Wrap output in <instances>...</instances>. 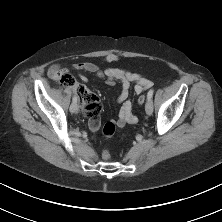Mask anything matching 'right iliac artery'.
Wrapping results in <instances>:
<instances>
[{
    "instance_id": "1",
    "label": "right iliac artery",
    "mask_w": 222,
    "mask_h": 222,
    "mask_svg": "<svg viewBox=\"0 0 222 222\" xmlns=\"http://www.w3.org/2000/svg\"><path fill=\"white\" fill-rule=\"evenodd\" d=\"M73 102H77V96L75 95L74 97H73Z\"/></svg>"
}]
</instances>
